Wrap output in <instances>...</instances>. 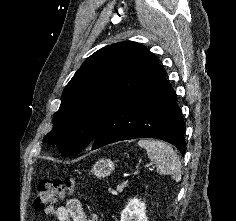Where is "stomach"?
<instances>
[{
    "label": "stomach",
    "instance_id": "1",
    "mask_svg": "<svg viewBox=\"0 0 236 221\" xmlns=\"http://www.w3.org/2000/svg\"><path fill=\"white\" fill-rule=\"evenodd\" d=\"M114 170V162H112L110 159H100L99 161H97L92 168V172L93 174L97 177V178H105L108 175H110L112 173V171Z\"/></svg>",
    "mask_w": 236,
    "mask_h": 221
}]
</instances>
